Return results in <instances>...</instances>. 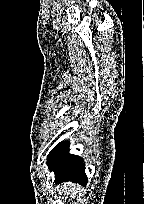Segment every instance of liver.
Returning <instances> with one entry per match:
<instances>
[{"label":"liver","instance_id":"1","mask_svg":"<svg viewBox=\"0 0 144 204\" xmlns=\"http://www.w3.org/2000/svg\"><path fill=\"white\" fill-rule=\"evenodd\" d=\"M66 189H68L69 191L67 192ZM80 189L81 186L75 185L74 183L71 182H66L61 185L60 191L64 192V194L68 196L70 194L76 195L80 191Z\"/></svg>","mask_w":144,"mask_h":204}]
</instances>
